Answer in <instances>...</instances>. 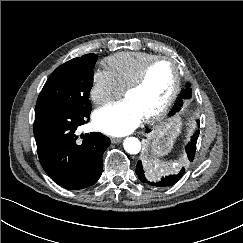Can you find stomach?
<instances>
[{
	"mask_svg": "<svg viewBox=\"0 0 243 243\" xmlns=\"http://www.w3.org/2000/svg\"><path fill=\"white\" fill-rule=\"evenodd\" d=\"M182 126L179 116L170 118L148 135L146 155L151 159H159L166 156L178 137Z\"/></svg>",
	"mask_w": 243,
	"mask_h": 243,
	"instance_id": "1",
	"label": "stomach"
}]
</instances>
